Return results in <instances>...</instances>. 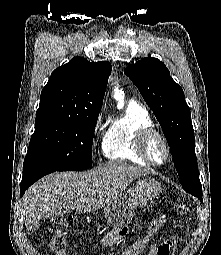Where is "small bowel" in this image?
<instances>
[{"label":"small bowel","instance_id":"obj_1","mask_svg":"<svg viewBox=\"0 0 221 255\" xmlns=\"http://www.w3.org/2000/svg\"><path fill=\"white\" fill-rule=\"evenodd\" d=\"M128 233V227H120L114 231H111L101 239L100 247L109 248L118 243L125 236H127ZM150 239V235H145L141 237L134 245H132L128 250L122 253V255H139V253L149 244ZM171 246V241H164L159 244H152L150 245L148 255H169Z\"/></svg>","mask_w":221,"mask_h":255}]
</instances>
